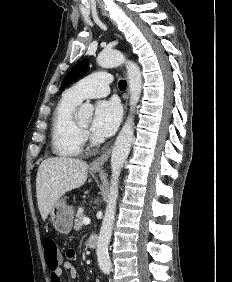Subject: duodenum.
Listing matches in <instances>:
<instances>
[{
  "instance_id": "obj_1",
  "label": "duodenum",
  "mask_w": 232,
  "mask_h": 282,
  "mask_svg": "<svg viewBox=\"0 0 232 282\" xmlns=\"http://www.w3.org/2000/svg\"><path fill=\"white\" fill-rule=\"evenodd\" d=\"M99 244V239H98V236L97 235H91L89 238H88V246L90 248H97Z\"/></svg>"
}]
</instances>
